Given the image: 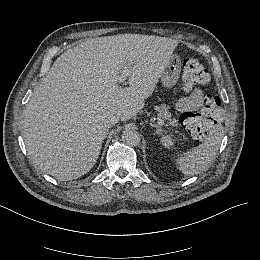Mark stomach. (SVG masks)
I'll return each instance as SVG.
<instances>
[{"label": "stomach", "instance_id": "stomach-1", "mask_svg": "<svg viewBox=\"0 0 260 260\" xmlns=\"http://www.w3.org/2000/svg\"><path fill=\"white\" fill-rule=\"evenodd\" d=\"M182 68V63L177 58L168 61L164 72L160 75L162 85L166 88H172L176 85Z\"/></svg>", "mask_w": 260, "mask_h": 260}]
</instances>
